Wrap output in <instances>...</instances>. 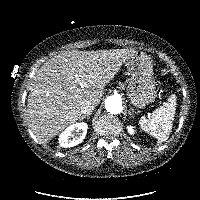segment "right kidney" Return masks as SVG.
<instances>
[{"label": "right kidney", "mask_w": 200, "mask_h": 200, "mask_svg": "<svg viewBox=\"0 0 200 200\" xmlns=\"http://www.w3.org/2000/svg\"><path fill=\"white\" fill-rule=\"evenodd\" d=\"M87 129L86 123H76L69 126L59 135L60 146L69 148L80 144L87 134Z\"/></svg>", "instance_id": "1"}]
</instances>
